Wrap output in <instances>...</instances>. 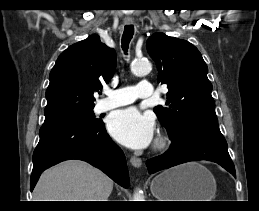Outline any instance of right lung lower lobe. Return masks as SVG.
I'll list each match as a JSON object with an SVG mask.
<instances>
[{
  "instance_id": "98d812e1",
  "label": "right lung lower lobe",
  "mask_w": 259,
  "mask_h": 211,
  "mask_svg": "<svg viewBox=\"0 0 259 211\" xmlns=\"http://www.w3.org/2000/svg\"><path fill=\"white\" fill-rule=\"evenodd\" d=\"M39 135L33 153L31 191L45 169L68 159L86 161L121 186H129L124 153L107 134L103 122L90 126L63 122L46 124L40 128Z\"/></svg>"
}]
</instances>
